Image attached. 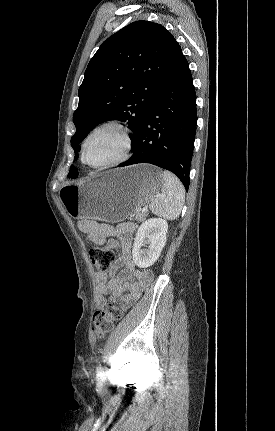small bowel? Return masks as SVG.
Masks as SVG:
<instances>
[{"label": "small bowel", "mask_w": 275, "mask_h": 431, "mask_svg": "<svg viewBox=\"0 0 275 431\" xmlns=\"http://www.w3.org/2000/svg\"><path fill=\"white\" fill-rule=\"evenodd\" d=\"M81 232L91 241L112 248H119L120 254L109 272H98L95 292V306L100 309L106 305V297L121 298L123 307L129 308L141 297L143 290L152 281V274L136 267L131 257V246L135 232L132 223L116 226L101 224L94 220L79 221Z\"/></svg>", "instance_id": "c3829d8e"}]
</instances>
